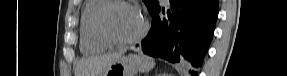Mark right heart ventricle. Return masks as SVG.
Instances as JSON below:
<instances>
[{"instance_id": "1", "label": "right heart ventricle", "mask_w": 287, "mask_h": 76, "mask_svg": "<svg viewBox=\"0 0 287 76\" xmlns=\"http://www.w3.org/2000/svg\"><path fill=\"white\" fill-rule=\"evenodd\" d=\"M107 0H89L81 12L80 18V49L83 53H99L109 46L96 34L95 18Z\"/></svg>"}]
</instances>
